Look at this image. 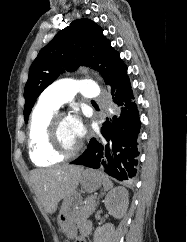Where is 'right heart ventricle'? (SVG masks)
Returning <instances> with one entry per match:
<instances>
[{"label":"right heart ventricle","mask_w":187,"mask_h":242,"mask_svg":"<svg viewBox=\"0 0 187 242\" xmlns=\"http://www.w3.org/2000/svg\"><path fill=\"white\" fill-rule=\"evenodd\" d=\"M56 109L39 102L33 110L29 133V156L37 166H49L62 161V158L50 152L46 143V128Z\"/></svg>","instance_id":"1"}]
</instances>
